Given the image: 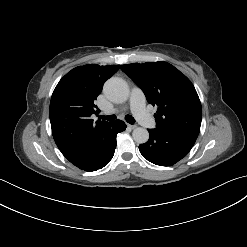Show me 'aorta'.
Wrapping results in <instances>:
<instances>
[{
  "label": "aorta",
  "instance_id": "aorta-1",
  "mask_svg": "<svg viewBox=\"0 0 247 247\" xmlns=\"http://www.w3.org/2000/svg\"><path fill=\"white\" fill-rule=\"evenodd\" d=\"M103 93L108 100L113 103H124L129 97V88L127 83L120 78H110L103 87ZM132 137L139 144L146 143L149 139L147 129L137 127L132 132Z\"/></svg>",
  "mask_w": 247,
  "mask_h": 247
}]
</instances>
